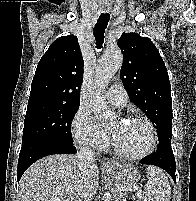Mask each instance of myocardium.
<instances>
[{
  "label": "myocardium",
  "mask_w": 196,
  "mask_h": 201,
  "mask_svg": "<svg viewBox=\"0 0 196 201\" xmlns=\"http://www.w3.org/2000/svg\"><path fill=\"white\" fill-rule=\"evenodd\" d=\"M129 121H139L144 123L150 132V143L149 146L147 147V149L139 154H129L124 152L115 142V140L113 139V137L111 138L112 141V146L113 149L115 151V153L121 157L122 159L125 160H130V161H138V160H142L144 158H146L147 156H149L150 154H152L156 148L157 145V132L156 129L153 125V123L146 117L141 116V115H132L128 117Z\"/></svg>",
  "instance_id": "myocardium-1"
}]
</instances>
